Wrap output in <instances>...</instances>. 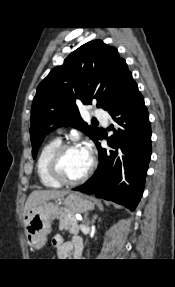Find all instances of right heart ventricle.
I'll list each match as a JSON object with an SVG mask.
<instances>
[{"instance_id": "right-heart-ventricle-1", "label": "right heart ventricle", "mask_w": 175, "mask_h": 287, "mask_svg": "<svg viewBox=\"0 0 175 287\" xmlns=\"http://www.w3.org/2000/svg\"><path fill=\"white\" fill-rule=\"evenodd\" d=\"M61 144L59 138L47 141L40 149L37 161L36 172L40 183L47 188H59L62 184L51 177L49 173V160L54 150Z\"/></svg>"}]
</instances>
